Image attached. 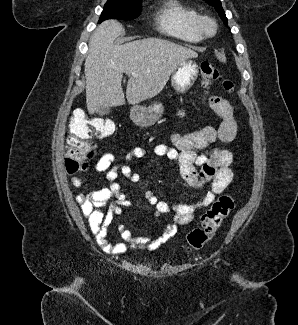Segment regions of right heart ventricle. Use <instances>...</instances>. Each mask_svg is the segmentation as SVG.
Masks as SVG:
<instances>
[{
	"label": "right heart ventricle",
	"instance_id": "e07e8e85",
	"mask_svg": "<svg viewBox=\"0 0 298 325\" xmlns=\"http://www.w3.org/2000/svg\"><path fill=\"white\" fill-rule=\"evenodd\" d=\"M199 18L196 9L174 3L158 13V29L164 37H179L181 43L196 44L203 40L198 27Z\"/></svg>",
	"mask_w": 298,
	"mask_h": 325
}]
</instances>
